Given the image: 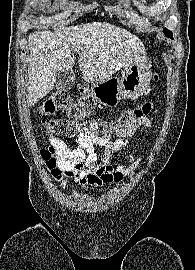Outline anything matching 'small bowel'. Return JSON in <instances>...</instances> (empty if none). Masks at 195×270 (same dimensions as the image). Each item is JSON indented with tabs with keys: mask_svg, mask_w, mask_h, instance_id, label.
Listing matches in <instances>:
<instances>
[{
	"mask_svg": "<svg viewBox=\"0 0 195 270\" xmlns=\"http://www.w3.org/2000/svg\"><path fill=\"white\" fill-rule=\"evenodd\" d=\"M148 116L136 120L134 123L112 131V133L98 135L93 132L80 133L76 136L77 147L69 148L65 142L57 137L50 139V149L59 156L60 165L65 175L75 177L81 186L102 188L105 184L119 182L124 176L131 174L138 166L140 159L136 156L137 150L129 155L126 163L118 167L112 164L113 155L127 146L129 138L140 127H152ZM104 147V156L101 162L97 161L95 147Z\"/></svg>",
	"mask_w": 195,
	"mask_h": 270,
	"instance_id": "1",
	"label": "small bowel"
}]
</instances>
